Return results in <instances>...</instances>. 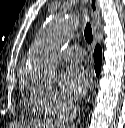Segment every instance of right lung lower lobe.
<instances>
[{
  "label": "right lung lower lobe",
  "mask_w": 125,
  "mask_h": 128,
  "mask_svg": "<svg viewBox=\"0 0 125 128\" xmlns=\"http://www.w3.org/2000/svg\"><path fill=\"white\" fill-rule=\"evenodd\" d=\"M94 60H95V71L98 75L101 69V62H102V50L99 45L96 46L94 51Z\"/></svg>",
  "instance_id": "98d812e1"
}]
</instances>
